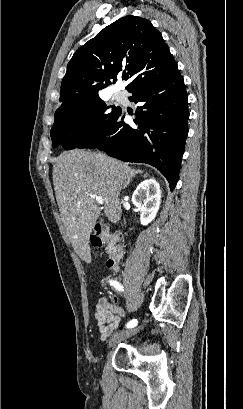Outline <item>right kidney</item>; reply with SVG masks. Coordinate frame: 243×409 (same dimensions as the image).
<instances>
[{
	"mask_svg": "<svg viewBox=\"0 0 243 409\" xmlns=\"http://www.w3.org/2000/svg\"><path fill=\"white\" fill-rule=\"evenodd\" d=\"M132 203L141 211L140 222L148 225L157 215L161 203L160 185L155 179L142 181L132 195Z\"/></svg>",
	"mask_w": 243,
	"mask_h": 409,
	"instance_id": "1",
	"label": "right kidney"
}]
</instances>
